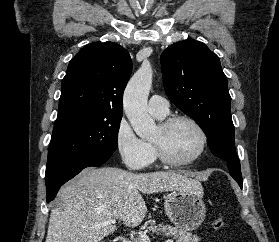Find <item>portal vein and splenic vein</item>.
<instances>
[{
    "instance_id": "obj_1",
    "label": "portal vein and splenic vein",
    "mask_w": 279,
    "mask_h": 242,
    "mask_svg": "<svg viewBox=\"0 0 279 242\" xmlns=\"http://www.w3.org/2000/svg\"><path fill=\"white\" fill-rule=\"evenodd\" d=\"M115 223H116V220H115V219H110V220L106 221V222L103 223V224L97 225V227L105 226V225H111V224H115ZM138 234H139V238H141L144 242H150V238H149V236L146 234V232L138 231ZM166 242H173V240H168V241H166Z\"/></svg>"
}]
</instances>
